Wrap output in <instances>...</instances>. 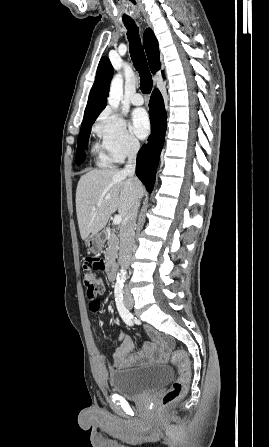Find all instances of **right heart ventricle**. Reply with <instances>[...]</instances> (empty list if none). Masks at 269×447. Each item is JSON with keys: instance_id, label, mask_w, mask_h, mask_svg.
I'll return each mask as SVG.
<instances>
[{"instance_id": "1", "label": "right heart ventricle", "mask_w": 269, "mask_h": 447, "mask_svg": "<svg viewBox=\"0 0 269 447\" xmlns=\"http://www.w3.org/2000/svg\"><path fill=\"white\" fill-rule=\"evenodd\" d=\"M94 152L97 156L96 162L99 166H108L114 160L108 152L101 150L98 146L94 147Z\"/></svg>"}]
</instances>
